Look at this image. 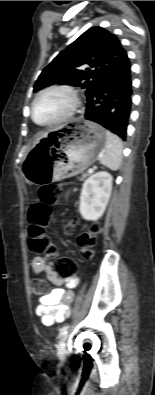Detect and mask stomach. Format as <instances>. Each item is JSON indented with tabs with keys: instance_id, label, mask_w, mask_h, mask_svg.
<instances>
[{
	"instance_id": "1",
	"label": "stomach",
	"mask_w": 155,
	"mask_h": 395,
	"mask_svg": "<svg viewBox=\"0 0 155 395\" xmlns=\"http://www.w3.org/2000/svg\"><path fill=\"white\" fill-rule=\"evenodd\" d=\"M105 132L83 118L57 127L27 154L22 165L26 181L43 185L84 171L105 148Z\"/></svg>"
}]
</instances>
